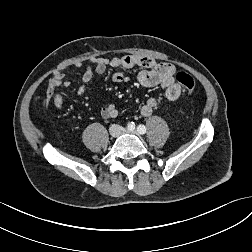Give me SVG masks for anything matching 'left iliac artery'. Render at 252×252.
Wrapping results in <instances>:
<instances>
[{
    "mask_svg": "<svg viewBox=\"0 0 252 252\" xmlns=\"http://www.w3.org/2000/svg\"><path fill=\"white\" fill-rule=\"evenodd\" d=\"M137 131L140 133V134H145L146 133V127L144 125H139L137 127Z\"/></svg>",
    "mask_w": 252,
    "mask_h": 252,
    "instance_id": "obj_1",
    "label": "left iliac artery"
}]
</instances>
